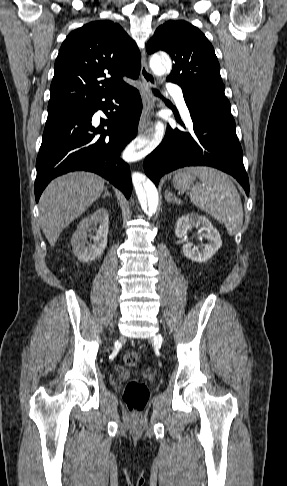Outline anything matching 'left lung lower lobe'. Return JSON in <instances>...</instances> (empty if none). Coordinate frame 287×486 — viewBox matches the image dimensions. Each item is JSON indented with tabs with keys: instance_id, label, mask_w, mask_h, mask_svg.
<instances>
[{
	"instance_id": "0a47b994",
	"label": "left lung lower lobe",
	"mask_w": 287,
	"mask_h": 486,
	"mask_svg": "<svg viewBox=\"0 0 287 486\" xmlns=\"http://www.w3.org/2000/svg\"><path fill=\"white\" fill-rule=\"evenodd\" d=\"M183 94L193 129L183 132L168 125L162 143L145 158L146 175L158 185L161 176L177 168L212 166L234 176L249 195V180L235 122L209 114Z\"/></svg>"
}]
</instances>
